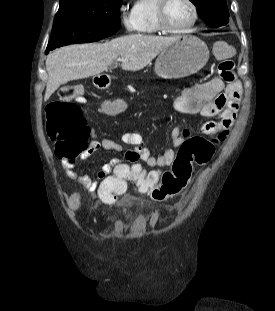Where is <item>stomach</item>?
<instances>
[{
  "instance_id": "stomach-1",
  "label": "stomach",
  "mask_w": 275,
  "mask_h": 311,
  "mask_svg": "<svg viewBox=\"0 0 275 311\" xmlns=\"http://www.w3.org/2000/svg\"><path fill=\"white\" fill-rule=\"evenodd\" d=\"M208 59L207 45L198 37L186 35L159 53L154 70L163 79H178L197 73Z\"/></svg>"
}]
</instances>
